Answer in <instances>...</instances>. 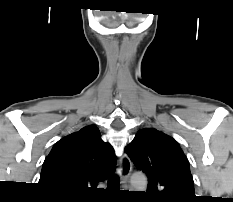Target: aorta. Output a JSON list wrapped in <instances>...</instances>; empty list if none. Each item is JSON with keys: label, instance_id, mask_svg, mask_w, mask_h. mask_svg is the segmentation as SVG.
I'll list each match as a JSON object with an SVG mask.
<instances>
[{"label": "aorta", "instance_id": "obj_1", "mask_svg": "<svg viewBox=\"0 0 233 202\" xmlns=\"http://www.w3.org/2000/svg\"><path fill=\"white\" fill-rule=\"evenodd\" d=\"M131 183L135 188L145 189L147 187V179L143 175H135L131 179Z\"/></svg>", "mask_w": 233, "mask_h": 202}]
</instances>
